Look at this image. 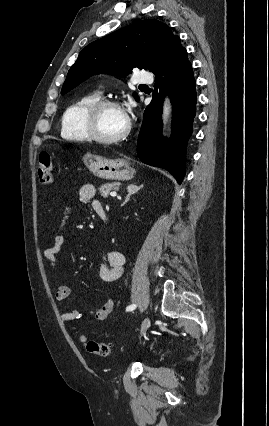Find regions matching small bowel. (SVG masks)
<instances>
[{"mask_svg": "<svg viewBox=\"0 0 269 426\" xmlns=\"http://www.w3.org/2000/svg\"><path fill=\"white\" fill-rule=\"evenodd\" d=\"M95 195V186L92 184H86L79 189L77 198L81 203L92 202L93 208L97 210L101 207V205L99 202L94 200ZM69 210L70 208L65 207L61 222H63ZM53 240V245L44 250V257L48 262L50 275L52 279L55 280V270L58 264L57 256L62 251L65 242V237L60 226L55 228L53 232ZM124 264L125 256L121 251L114 250L106 253L104 262L100 267V277L104 281L118 280L123 274ZM69 295L70 289L67 286L56 283L55 300L58 305L63 306ZM114 306L115 301L113 299H109L105 301L99 309L89 312L62 307L60 315L66 322L79 321L85 317H91L94 320L102 321L109 316V314L113 311Z\"/></svg>", "mask_w": 269, "mask_h": 426, "instance_id": "c3829d8e", "label": "small bowel"}]
</instances>
